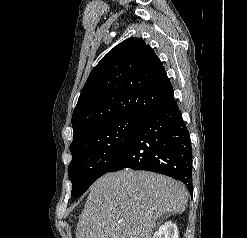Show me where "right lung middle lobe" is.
<instances>
[{
	"label": "right lung middle lobe",
	"instance_id": "right-lung-middle-lobe-1",
	"mask_svg": "<svg viewBox=\"0 0 247 238\" xmlns=\"http://www.w3.org/2000/svg\"><path fill=\"white\" fill-rule=\"evenodd\" d=\"M142 118L137 115L122 116L73 140L70 145L72 161L68 167L73 198L82 195L97 178L108 171Z\"/></svg>",
	"mask_w": 247,
	"mask_h": 238
}]
</instances>
